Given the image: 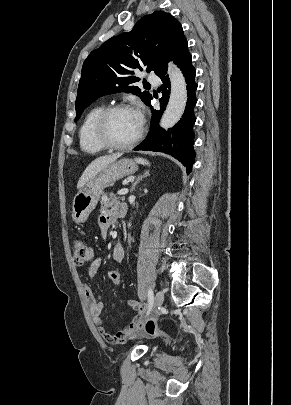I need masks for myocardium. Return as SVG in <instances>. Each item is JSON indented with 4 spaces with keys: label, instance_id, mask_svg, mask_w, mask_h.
Masks as SVG:
<instances>
[{
    "label": "myocardium",
    "instance_id": "myocardium-1",
    "mask_svg": "<svg viewBox=\"0 0 291 405\" xmlns=\"http://www.w3.org/2000/svg\"><path fill=\"white\" fill-rule=\"evenodd\" d=\"M129 109L134 110L133 107H131L128 104L118 103L104 108L102 112L99 114L94 125V135L97 141L102 146H104L107 149L126 150L134 147L141 140L144 134L143 124H141L140 130L137 133V135L127 143H116L109 136L108 123L111 116L115 112Z\"/></svg>",
    "mask_w": 291,
    "mask_h": 405
}]
</instances>
